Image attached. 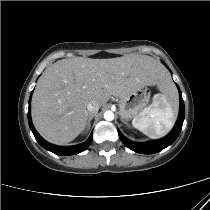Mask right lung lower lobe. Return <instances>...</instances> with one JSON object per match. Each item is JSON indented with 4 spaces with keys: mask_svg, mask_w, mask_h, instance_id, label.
<instances>
[{
    "mask_svg": "<svg viewBox=\"0 0 210 210\" xmlns=\"http://www.w3.org/2000/svg\"><path fill=\"white\" fill-rule=\"evenodd\" d=\"M31 95H32V93H31ZM30 101H31V96L29 99V109H28L29 126H30V129L33 132L36 140L43 148H45L46 150H49L57 155H74V154L83 152L88 148V146L90 145V143L92 141V133L86 142H84L80 145H76V146H56V145H52V144L46 142L45 140H43L40 137V135L36 132V130L32 124L31 115H30Z\"/></svg>",
    "mask_w": 210,
    "mask_h": 210,
    "instance_id": "obj_1",
    "label": "right lung lower lobe"
}]
</instances>
